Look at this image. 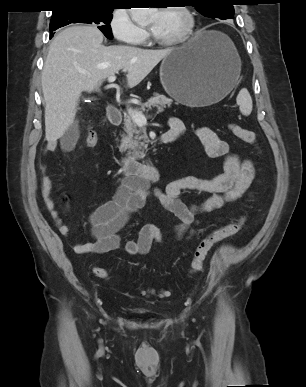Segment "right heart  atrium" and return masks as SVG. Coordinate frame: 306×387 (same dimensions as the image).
<instances>
[{"label": "right heart atrium", "mask_w": 306, "mask_h": 387, "mask_svg": "<svg viewBox=\"0 0 306 387\" xmlns=\"http://www.w3.org/2000/svg\"><path fill=\"white\" fill-rule=\"evenodd\" d=\"M109 28L113 37L123 44L139 45L147 38L146 30L132 19L130 11L125 8L113 10Z\"/></svg>", "instance_id": "obj_1"}]
</instances>
